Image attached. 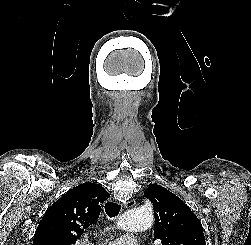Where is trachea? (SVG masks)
<instances>
[{
  "label": "trachea",
  "mask_w": 251,
  "mask_h": 245,
  "mask_svg": "<svg viewBox=\"0 0 251 245\" xmlns=\"http://www.w3.org/2000/svg\"><path fill=\"white\" fill-rule=\"evenodd\" d=\"M105 212L110 218H113L119 214L120 205L115 202H107L105 204Z\"/></svg>",
  "instance_id": "obj_1"
}]
</instances>
